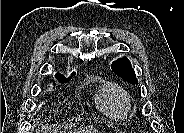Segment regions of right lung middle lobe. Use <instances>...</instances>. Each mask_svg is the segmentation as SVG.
Here are the masks:
<instances>
[{
	"instance_id": "1",
	"label": "right lung middle lobe",
	"mask_w": 184,
	"mask_h": 133,
	"mask_svg": "<svg viewBox=\"0 0 184 133\" xmlns=\"http://www.w3.org/2000/svg\"><path fill=\"white\" fill-rule=\"evenodd\" d=\"M69 80H67V81H64V82H60V83H66V82H68Z\"/></svg>"
}]
</instances>
